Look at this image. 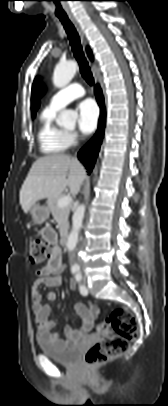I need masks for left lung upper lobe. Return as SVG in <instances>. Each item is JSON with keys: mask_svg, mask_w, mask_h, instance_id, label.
<instances>
[{"mask_svg": "<svg viewBox=\"0 0 168 406\" xmlns=\"http://www.w3.org/2000/svg\"><path fill=\"white\" fill-rule=\"evenodd\" d=\"M44 93L42 86L38 84V79L34 81V84L32 86V105L33 101L40 95Z\"/></svg>", "mask_w": 168, "mask_h": 406, "instance_id": "1", "label": "left lung upper lobe"}]
</instances>
